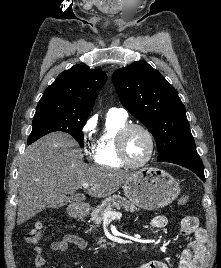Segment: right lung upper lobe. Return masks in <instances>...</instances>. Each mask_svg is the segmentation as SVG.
<instances>
[{
	"mask_svg": "<svg viewBox=\"0 0 221 268\" xmlns=\"http://www.w3.org/2000/svg\"><path fill=\"white\" fill-rule=\"evenodd\" d=\"M106 79L99 69L74 65L45 90L36 111H64L88 117Z\"/></svg>",
	"mask_w": 221,
	"mask_h": 268,
	"instance_id": "obj_1",
	"label": "right lung upper lobe"
}]
</instances>
